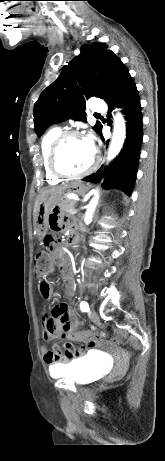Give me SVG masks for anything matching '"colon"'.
<instances>
[{
    "instance_id": "colon-1",
    "label": "colon",
    "mask_w": 165,
    "mask_h": 461,
    "mask_svg": "<svg viewBox=\"0 0 165 461\" xmlns=\"http://www.w3.org/2000/svg\"><path fill=\"white\" fill-rule=\"evenodd\" d=\"M54 238L51 235H48L44 238V246L40 249L34 258V265H35V272L36 275L39 277L51 275L54 272V264L49 256V250L51 249L52 244L54 243ZM60 311L59 307H56L53 310L54 315H58ZM87 343H80V347L75 349L76 341L75 340H67L66 344L64 345V350L70 354L74 359H77L79 355H82L86 352L87 349L92 348V344L96 342L95 337L92 334L87 336ZM112 343L123 346L124 343L122 340L118 338H113Z\"/></svg>"
}]
</instances>
